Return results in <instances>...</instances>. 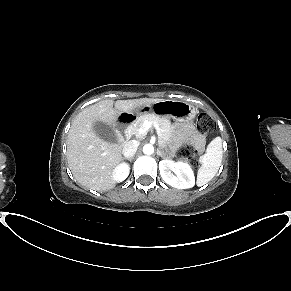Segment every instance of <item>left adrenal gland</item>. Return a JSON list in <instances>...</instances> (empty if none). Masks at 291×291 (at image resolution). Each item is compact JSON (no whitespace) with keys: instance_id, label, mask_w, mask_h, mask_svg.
Wrapping results in <instances>:
<instances>
[{"instance_id":"obj_1","label":"left adrenal gland","mask_w":291,"mask_h":291,"mask_svg":"<svg viewBox=\"0 0 291 291\" xmlns=\"http://www.w3.org/2000/svg\"><path fill=\"white\" fill-rule=\"evenodd\" d=\"M157 155L161 156L162 158H164L163 153L161 151V148L157 149Z\"/></svg>"}]
</instances>
